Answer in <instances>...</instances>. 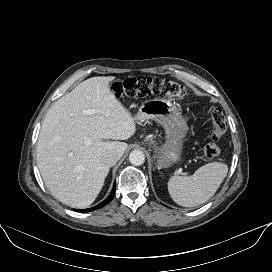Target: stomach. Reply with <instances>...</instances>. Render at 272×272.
<instances>
[{
	"label": "stomach",
	"instance_id": "stomach-1",
	"mask_svg": "<svg viewBox=\"0 0 272 272\" xmlns=\"http://www.w3.org/2000/svg\"><path fill=\"white\" fill-rule=\"evenodd\" d=\"M133 118L135 121L153 119L165 129L166 141L155 150L158 167L167 168L180 161L187 127L174 105L159 99L148 100Z\"/></svg>",
	"mask_w": 272,
	"mask_h": 272
}]
</instances>
